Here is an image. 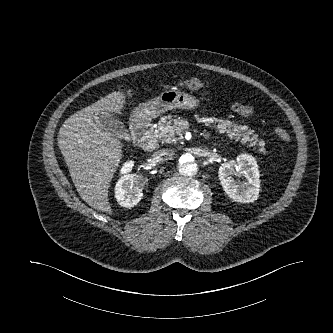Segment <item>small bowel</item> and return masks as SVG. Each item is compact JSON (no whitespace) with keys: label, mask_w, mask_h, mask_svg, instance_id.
<instances>
[{"label":"small bowel","mask_w":333,"mask_h":333,"mask_svg":"<svg viewBox=\"0 0 333 333\" xmlns=\"http://www.w3.org/2000/svg\"><path fill=\"white\" fill-rule=\"evenodd\" d=\"M233 111L241 116H248L251 114L252 109L249 106L236 103L232 107Z\"/></svg>","instance_id":"obj_1"}]
</instances>
